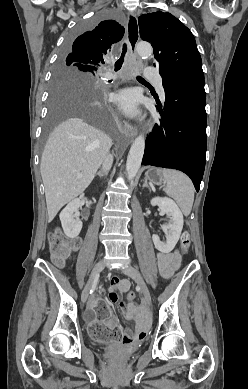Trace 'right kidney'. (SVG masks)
<instances>
[{"label": "right kidney", "instance_id": "ca27d5eb", "mask_svg": "<svg viewBox=\"0 0 248 389\" xmlns=\"http://www.w3.org/2000/svg\"><path fill=\"white\" fill-rule=\"evenodd\" d=\"M80 199L72 200L60 213V221L65 235L69 238H75L82 229V221L79 218L78 209Z\"/></svg>", "mask_w": 248, "mask_h": 389}]
</instances>
